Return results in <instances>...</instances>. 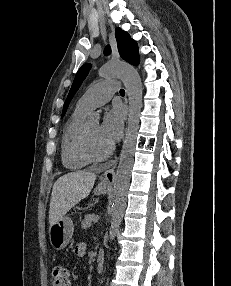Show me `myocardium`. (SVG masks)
I'll list each match as a JSON object with an SVG mask.
<instances>
[{
	"instance_id": "myocardium-1",
	"label": "myocardium",
	"mask_w": 231,
	"mask_h": 286,
	"mask_svg": "<svg viewBox=\"0 0 231 286\" xmlns=\"http://www.w3.org/2000/svg\"><path fill=\"white\" fill-rule=\"evenodd\" d=\"M76 150L78 155L87 163H99L110 157L113 147L110 146L102 155H94L89 148L87 123H84L78 135Z\"/></svg>"
}]
</instances>
